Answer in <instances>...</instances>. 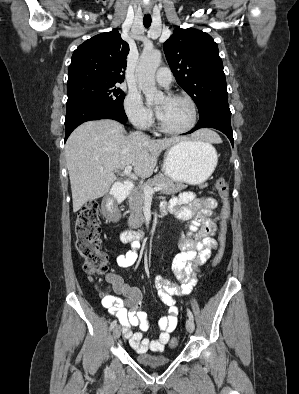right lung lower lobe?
Returning a JSON list of instances; mask_svg holds the SVG:
<instances>
[{"label":"right lung lower lobe","instance_id":"1","mask_svg":"<svg viewBox=\"0 0 299 394\" xmlns=\"http://www.w3.org/2000/svg\"><path fill=\"white\" fill-rule=\"evenodd\" d=\"M66 107L67 112L65 118V141L77 126L86 121L113 119L121 123H125L128 120L125 112H116L105 105L95 102H75L71 104H66Z\"/></svg>","mask_w":299,"mask_h":394}]
</instances>
